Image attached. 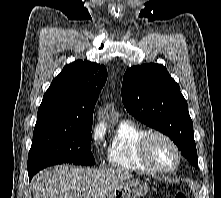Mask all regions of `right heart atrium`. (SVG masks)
<instances>
[{
  "label": "right heart atrium",
  "mask_w": 221,
  "mask_h": 198,
  "mask_svg": "<svg viewBox=\"0 0 221 198\" xmlns=\"http://www.w3.org/2000/svg\"><path fill=\"white\" fill-rule=\"evenodd\" d=\"M104 138V129L101 126H96L91 132V142L95 147H99Z\"/></svg>",
  "instance_id": "d8ad5b80"
}]
</instances>
